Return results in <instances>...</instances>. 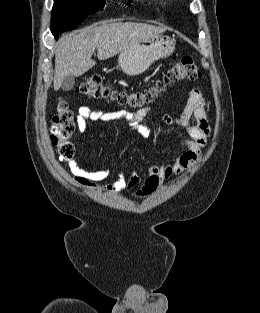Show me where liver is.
Masks as SVG:
<instances>
[{
	"instance_id": "liver-1",
	"label": "liver",
	"mask_w": 260,
	"mask_h": 313,
	"mask_svg": "<svg viewBox=\"0 0 260 313\" xmlns=\"http://www.w3.org/2000/svg\"><path fill=\"white\" fill-rule=\"evenodd\" d=\"M165 30V27L146 23L103 22L63 36L55 48L54 90H59L65 77H79L91 69L96 64L91 59L95 49L98 59L105 60Z\"/></svg>"
}]
</instances>
